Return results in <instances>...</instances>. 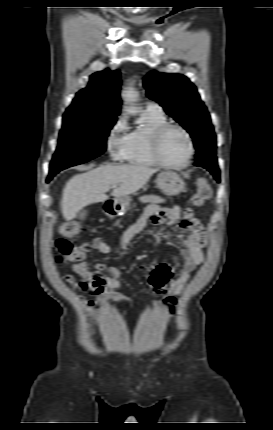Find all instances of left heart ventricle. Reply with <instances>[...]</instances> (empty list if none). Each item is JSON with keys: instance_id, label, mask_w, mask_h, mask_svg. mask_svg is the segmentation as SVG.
<instances>
[{"instance_id": "left-heart-ventricle-1", "label": "left heart ventricle", "mask_w": 273, "mask_h": 430, "mask_svg": "<svg viewBox=\"0 0 273 430\" xmlns=\"http://www.w3.org/2000/svg\"><path fill=\"white\" fill-rule=\"evenodd\" d=\"M188 154V143L182 132L176 129L167 131L161 141V156L171 164L183 163Z\"/></svg>"}]
</instances>
